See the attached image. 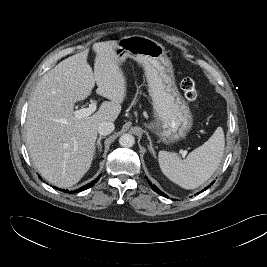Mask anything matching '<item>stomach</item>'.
Segmentation results:
<instances>
[{"mask_svg": "<svg viewBox=\"0 0 267 267\" xmlns=\"http://www.w3.org/2000/svg\"><path fill=\"white\" fill-rule=\"evenodd\" d=\"M115 56L119 63L130 57L142 66L156 118L151 127L159 129L162 141L184 139L192 129L193 115L177 88L172 63L162 44L140 35L124 37L117 42Z\"/></svg>", "mask_w": 267, "mask_h": 267, "instance_id": "1", "label": "stomach"}]
</instances>
